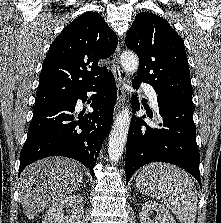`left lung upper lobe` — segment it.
<instances>
[{
    "instance_id": "5c2ea615",
    "label": "left lung upper lobe",
    "mask_w": 221,
    "mask_h": 223,
    "mask_svg": "<svg viewBox=\"0 0 221 223\" xmlns=\"http://www.w3.org/2000/svg\"><path fill=\"white\" fill-rule=\"evenodd\" d=\"M126 46L139 57L134 80L150 84L159 96L193 106L184 43L165 19L150 12L138 14Z\"/></svg>"
}]
</instances>
